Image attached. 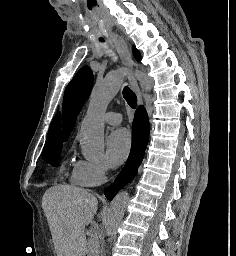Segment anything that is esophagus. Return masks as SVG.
Masks as SVG:
<instances>
[{"label":"esophagus","mask_w":236,"mask_h":256,"mask_svg":"<svg viewBox=\"0 0 236 256\" xmlns=\"http://www.w3.org/2000/svg\"><path fill=\"white\" fill-rule=\"evenodd\" d=\"M111 40L113 41V43L115 45V48L118 52V55H119L123 65L129 69V72H128L129 83L137 95L138 103L140 105H142L143 104L142 94H141L138 82L135 78V75H134L133 71L131 70L132 67L134 66V62L131 58V54L129 52L128 45H127L126 41L124 40V38L121 37L120 35H118L117 33H113L111 35Z\"/></svg>","instance_id":"1"}]
</instances>
